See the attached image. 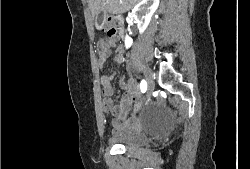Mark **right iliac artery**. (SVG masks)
Here are the masks:
<instances>
[{
  "label": "right iliac artery",
  "mask_w": 250,
  "mask_h": 169,
  "mask_svg": "<svg viewBox=\"0 0 250 169\" xmlns=\"http://www.w3.org/2000/svg\"><path fill=\"white\" fill-rule=\"evenodd\" d=\"M140 89L142 93H145L147 90V82L145 80H142L140 83Z\"/></svg>",
  "instance_id": "1"
}]
</instances>
